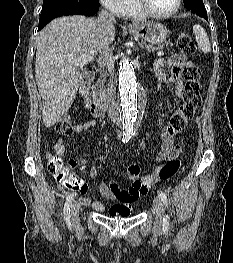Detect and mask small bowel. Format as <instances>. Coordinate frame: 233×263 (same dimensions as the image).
Returning a JSON list of instances; mask_svg holds the SVG:
<instances>
[{
  "label": "small bowel",
  "mask_w": 233,
  "mask_h": 263,
  "mask_svg": "<svg viewBox=\"0 0 233 263\" xmlns=\"http://www.w3.org/2000/svg\"><path fill=\"white\" fill-rule=\"evenodd\" d=\"M187 64V57L183 53H175L168 59H158L155 63L154 72L159 82V87H162L165 83H172L174 91L177 97L184 96V86L181 78V73L184 66ZM168 65L170 68V74L168 75L163 66ZM96 122L94 120H88L83 123L77 124L72 128L73 133H82L88 129L94 127ZM175 133L171 131L169 126L162 130L161 140L162 148L161 152L156 158L157 162H164L165 160L173 159L181 152V148L175 142ZM70 141L68 136H62L58 139L54 146L56 156L61 157L66 150V143ZM73 163L71 171L75 169L83 168L87 159L70 160ZM162 165H158L151 173L145 177L140 176V167L135 164H129L126 167L125 174L128 181V186L121 188L117 183L111 182L108 184L100 183L99 191L101 195L111 201L118 202L117 204L106 208L104 204L99 201H92L83 195L80 199L82 205L90 206L98 212H107L111 217H127L131 213V205L137 201L141 196L148 193V191L157 183L154 179L156 171ZM98 167L93 166L89 171V177L95 178L98 175ZM82 183V182H81ZM61 188L64 189V183H61ZM78 190V189H72Z\"/></svg>",
  "instance_id": "1"
}]
</instances>
